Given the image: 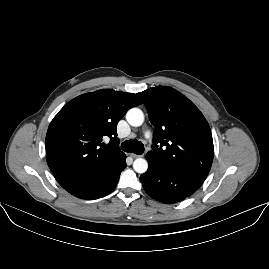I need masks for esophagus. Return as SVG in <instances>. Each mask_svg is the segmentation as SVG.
Instances as JSON below:
<instances>
[{
  "label": "esophagus",
  "instance_id": "obj_1",
  "mask_svg": "<svg viewBox=\"0 0 269 269\" xmlns=\"http://www.w3.org/2000/svg\"><path fill=\"white\" fill-rule=\"evenodd\" d=\"M130 156L132 157V158H139V157H141V155H138V154H130Z\"/></svg>",
  "mask_w": 269,
  "mask_h": 269
}]
</instances>
